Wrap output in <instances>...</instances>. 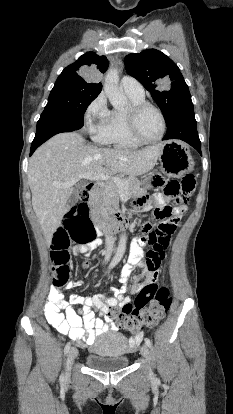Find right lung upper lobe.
<instances>
[{
  "mask_svg": "<svg viewBox=\"0 0 233 414\" xmlns=\"http://www.w3.org/2000/svg\"><path fill=\"white\" fill-rule=\"evenodd\" d=\"M108 66L109 62L105 56H98L94 52H87L76 62L67 66L59 75L57 81L101 92L102 84L91 82V79L97 72L104 73ZM80 69L84 70V77L79 75Z\"/></svg>",
  "mask_w": 233,
  "mask_h": 414,
  "instance_id": "1",
  "label": "right lung upper lobe"
}]
</instances>
